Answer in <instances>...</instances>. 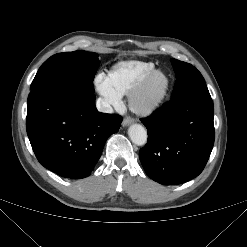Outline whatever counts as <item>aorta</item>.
Masks as SVG:
<instances>
[{"label": "aorta", "instance_id": "1", "mask_svg": "<svg viewBox=\"0 0 247 247\" xmlns=\"http://www.w3.org/2000/svg\"><path fill=\"white\" fill-rule=\"evenodd\" d=\"M128 135L133 144L143 146L147 142V131L140 124H133L128 129Z\"/></svg>", "mask_w": 247, "mask_h": 247}]
</instances>
